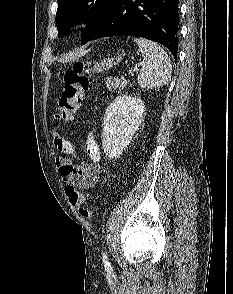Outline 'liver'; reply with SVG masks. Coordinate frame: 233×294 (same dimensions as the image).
Masks as SVG:
<instances>
[{"mask_svg":"<svg viewBox=\"0 0 233 294\" xmlns=\"http://www.w3.org/2000/svg\"><path fill=\"white\" fill-rule=\"evenodd\" d=\"M72 57H66L65 59H63V60H70Z\"/></svg>","mask_w":233,"mask_h":294,"instance_id":"1","label":"liver"}]
</instances>
